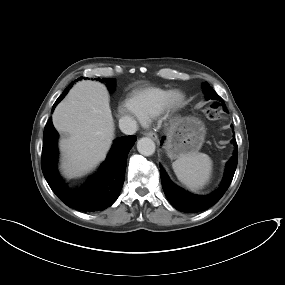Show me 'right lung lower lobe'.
<instances>
[{"instance_id": "98d812e1", "label": "right lung lower lobe", "mask_w": 285, "mask_h": 285, "mask_svg": "<svg viewBox=\"0 0 285 285\" xmlns=\"http://www.w3.org/2000/svg\"><path fill=\"white\" fill-rule=\"evenodd\" d=\"M72 85L73 83L69 87ZM69 87L56 100L53 110L67 94ZM57 139L58 133L50 118L43 134L41 166L44 177L53 192L66 205L83 212L100 211L111 206L117 200L123 186L127 156L136 137L132 135L117 138L98 173L78 190L68 189L59 176Z\"/></svg>"}]
</instances>
